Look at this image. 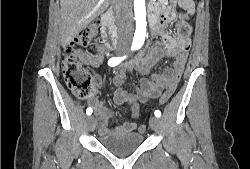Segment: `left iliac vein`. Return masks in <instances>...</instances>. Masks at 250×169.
Returning a JSON list of instances; mask_svg holds the SVG:
<instances>
[{"mask_svg": "<svg viewBox=\"0 0 250 169\" xmlns=\"http://www.w3.org/2000/svg\"><path fill=\"white\" fill-rule=\"evenodd\" d=\"M149 125L153 130L162 131L160 119L155 116L150 117Z\"/></svg>", "mask_w": 250, "mask_h": 169, "instance_id": "4c4485c4", "label": "left iliac vein"}]
</instances>
